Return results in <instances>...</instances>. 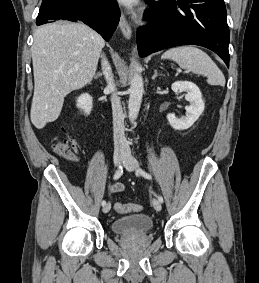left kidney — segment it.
I'll list each match as a JSON object with an SVG mask.
<instances>
[{
  "instance_id": "1",
  "label": "left kidney",
  "mask_w": 259,
  "mask_h": 283,
  "mask_svg": "<svg viewBox=\"0 0 259 283\" xmlns=\"http://www.w3.org/2000/svg\"><path fill=\"white\" fill-rule=\"evenodd\" d=\"M171 88L174 92H186L185 99L190 105L186 107V116L177 118L174 114H168L167 120L173 129L186 130L194 124L204 110L201 91L197 85L189 81H177Z\"/></svg>"
}]
</instances>
